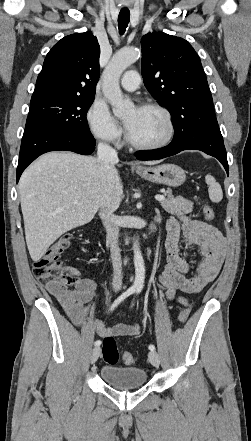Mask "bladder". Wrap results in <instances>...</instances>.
<instances>
[{"instance_id":"1","label":"bladder","mask_w":251,"mask_h":441,"mask_svg":"<svg viewBox=\"0 0 251 441\" xmlns=\"http://www.w3.org/2000/svg\"><path fill=\"white\" fill-rule=\"evenodd\" d=\"M102 380L108 385L118 388H137L147 382V373L138 367H120L105 365L100 370Z\"/></svg>"}]
</instances>
